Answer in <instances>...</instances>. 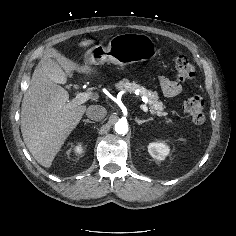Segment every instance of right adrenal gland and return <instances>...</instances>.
Wrapping results in <instances>:
<instances>
[{
    "label": "right adrenal gland",
    "instance_id": "right-adrenal-gland-1",
    "mask_svg": "<svg viewBox=\"0 0 236 236\" xmlns=\"http://www.w3.org/2000/svg\"><path fill=\"white\" fill-rule=\"evenodd\" d=\"M83 122L84 123H94L93 121H90L89 119H84Z\"/></svg>",
    "mask_w": 236,
    "mask_h": 236
}]
</instances>
